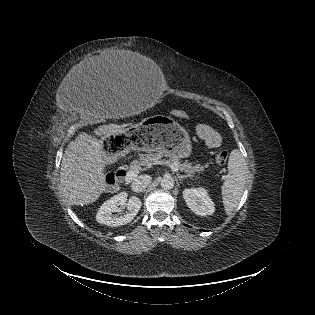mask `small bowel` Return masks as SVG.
<instances>
[{"mask_svg": "<svg viewBox=\"0 0 315 315\" xmlns=\"http://www.w3.org/2000/svg\"><path fill=\"white\" fill-rule=\"evenodd\" d=\"M198 136L205 142L209 148H217L221 144L220 135L210 126L205 124H200L197 126Z\"/></svg>", "mask_w": 315, "mask_h": 315, "instance_id": "obj_1", "label": "small bowel"}]
</instances>
